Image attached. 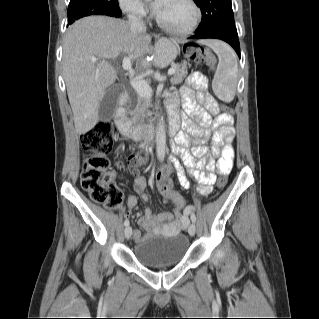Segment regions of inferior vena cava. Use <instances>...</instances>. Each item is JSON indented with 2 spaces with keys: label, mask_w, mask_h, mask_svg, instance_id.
I'll return each mask as SVG.
<instances>
[{
  "label": "inferior vena cava",
  "mask_w": 319,
  "mask_h": 319,
  "mask_svg": "<svg viewBox=\"0 0 319 319\" xmlns=\"http://www.w3.org/2000/svg\"><path fill=\"white\" fill-rule=\"evenodd\" d=\"M128 25L130 30L134 33L146 32V26L143 23L142 19L138 17L134 12L129 13L128 15Z\"/></svg>",
  "instance_id": "inferior-vena-cava-1"
}]
</instances>
